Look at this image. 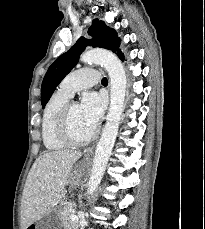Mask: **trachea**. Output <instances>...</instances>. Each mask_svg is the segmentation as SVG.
Masks as SVG:
<instances>
[{
  "mask_svg": "<svg viewBox=\"0 0 205 229\" xmlns=\"http://www.w3.org/2000/svg\"><path fill=\"white\" fill-rule=\"evenodd\" d=\"M103 84H107L108 83V80H107V78L106 77H104L103 79H102V81H101Z\"/></svg>",
  "mask_w": 205,
  "mask_h": 229,
  "instance_id": "1",
  "label": "trachea"
}]
</instances>
